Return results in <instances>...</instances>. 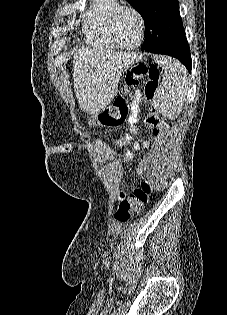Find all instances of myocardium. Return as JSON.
Masks as SVG:
<instances>
[{
  "label": "myocardium",
  "mask_w": 227,
  "mask_h": 315,
  "mask_svg": "<svg viewBox=\"0 0 227 315\" xmlns=\"http://www.w3.org/2000/svg\"><path fill=\"white\" fill-rule=\"evenodd\" d=\"M125 11H130L132 12L138 19L139 21V39L138 41L132 45V46H124L121 43H119V41L116 38L115 35V26L116 23L119 19V17L121 16V14ZM145 28H146V22H145V18L143 16V14L140 12V10H138L136 7L131 6V5H120L112 14L110 21H109V27H108V32H109V37L111 42L118 48L123 49V50H135L137 48H139L145 38Z\"/></svg>",
  "instance_id": "f54148a6"
}]
</instances>
